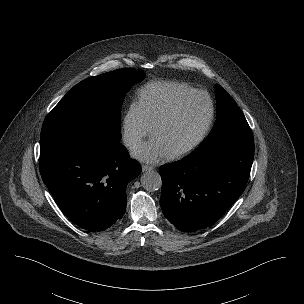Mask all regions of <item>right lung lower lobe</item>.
<instances>
[{
	"label": "right lung lower lobe",
	"mask_w": 304,
	"mask_h": 304,
	"mask_svg": "<svg viewBox=\"0 0 304 304\" xmlns=\"http://www.w3.org/2000/svg\"><path fill=\"white\" fill-rule=\"evenodd\" d=\"M40 173L63 213L94 232L124 214L127 184L141 166L103 133L64 127L41 132Z\"/></svg>",
	"instance_id": "1"
}]
</instances>
